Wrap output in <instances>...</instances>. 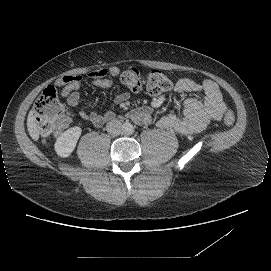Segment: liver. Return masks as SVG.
<instances>
[{"label": "liver", "instance_id": "obj_1", "mask_svg": "<svg viewBox=\"0 0 271 271\" xmlns=\"http://www.w3.org/2000/svg\"><path fill=\"white\" fill-rule=\"evenodd\" d=\"M27 126H28V131H29L31 137L34 140H37L39 137V131L37 128V124L35 122L34 113L32 111L28 115Z\"/></svg>", "mask_w": 271, "mask_h": 271}]
</instances>
